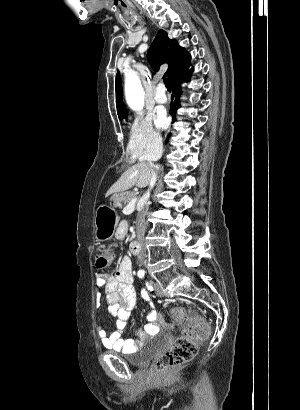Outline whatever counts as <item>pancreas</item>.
Instances as JSON below:
<instances>
[{
  "label": "pancreas",
  "instance_id": "pancreas-1",
  "mask_svg": "<svg viewBox=\"0 0 300 410\" xmlns=\"http://www.w3.org/2000/svg\"><path fill=\"white\" fill-rule=\"evenodd\" d=\"M135 192H124V193H121L119 196H118V198H117V201L115 202V205L117 206V207H121L122 206V204H128L134 197H135Z\"/></svg>",
  "mask_w": 300,
  "mask_h": 410
}]
</instances>
